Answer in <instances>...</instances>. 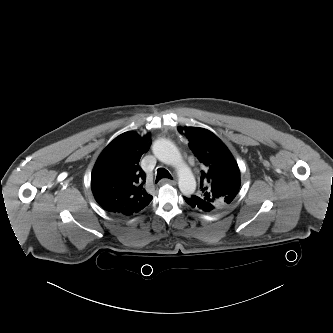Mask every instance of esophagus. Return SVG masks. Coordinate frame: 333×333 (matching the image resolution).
Segmentation results:
<instances>
[{
  "label": "esophagus",
  "instance_id": "obj_1",
  "mask_svg": "<svg viewBox=\"0 0 333 333\" xmlns=\"http://www.w3.org/2000/svg\"><path fill=\"white\" fill-rule=\"evenodd\" d=\"M161 184H171V185H175L176 184V180H170V179H162Z\"/></svg>",
  "mask_w": 333,
  "mask_h": 333
}]
</instances>
